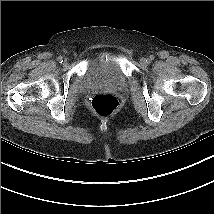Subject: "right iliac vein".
I'll return each mask as SVG.
<instances>
[{"mask_svg":"<svg viewBox=\"0 0 214 214\" xmlns=\"http://www.w3.org/2000/svg\"><path fill=\"white\" fill-rule=\"evenodd\" d=\"M63 64H64V65H66V64H67V60H66V59L64 60Z\"/></svg>","mask_w":214,"mask_h":214,"instance_id":"obj_1","label":"right iliac vein"}]
</instances>
